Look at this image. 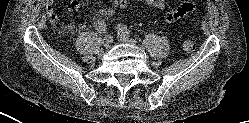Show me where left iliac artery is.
<instances>
[{"label":"left iliac artery","instance_id":"obj_1","mask_svg":"<svg viewBox=\"0 0 249 123\" xmlns=\"http://www.w3.org/2000/svg\"><path fill=\"white\" fill-rule=\"evenodd\" d=\"M117 31L120 32V33H123L125 35H130L129 29L124 24H119L117 26Z\"/></svg>","mask_w":249,"mask_h":123}]
</instances>
